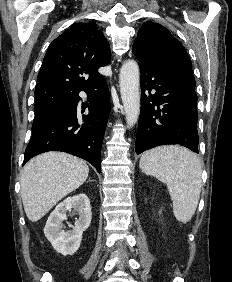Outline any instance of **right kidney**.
Here are the masks:
<instances>
[{"label":"right kidney","instance_id":"right-kidney-1","mask_svg":"<svg viewBox=\"0 0 232 282\" xmlns=\"http://www.w3.org/2000/svg\"><path fill=\"white\" fill-rule=\"evenodd\" d=\"M72 209L79 214V219L72 230L65 231L62 229L63 221L67 220L66 213ZM91 218L90 201L84 193L68 197L50 214L44 228L45 236L58 253L72 255L79 249L82 233L89 227Z\"/></svg>","mask_w":232,"mask_h":282}]
</instances>
